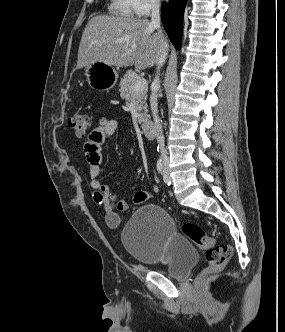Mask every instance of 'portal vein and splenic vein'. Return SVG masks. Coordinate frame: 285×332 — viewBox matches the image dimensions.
<instances>
[{
    "label": "portal vein and splenic vein",
    "mask_w": 285,
    "mask_h": 332,
    "mask_svg": "<svg viewBox=\"0 0 285 332\" xmlns=\"http://www.w3.org/2000/svg\"><path fill=\"white\" fill-rule=\"evenodd\" d=\"M146 88H147V81H146V79H144L142 77L136 81V83L134 85V92L138 93V92L145 90Z\"/></svg>",
    "instance_id": "1"
}]
</instances>
